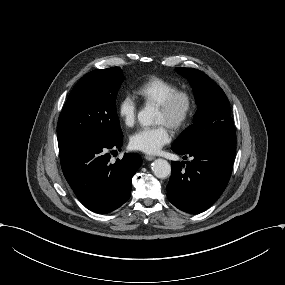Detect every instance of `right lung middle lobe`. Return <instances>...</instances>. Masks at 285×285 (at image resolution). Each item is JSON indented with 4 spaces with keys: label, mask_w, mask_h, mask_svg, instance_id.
Masks as SVG:
<instances>
[{
    "label": "right lung middle lobe",
    "mask_w": 285,
    "mask_h": 285,
    "mask_svg": "<svg viewBox=\"0 0 285 285\" xmlns=\"http://www.w3.org/2000/svg\"><path fill=\"white\" fill-rule=\"evenodd\" d=\"M123 80L120 67L97 69L84 75L71 91L59 116L58 144L122 139L116 95Z\"/></svg>",
    "instance_id": "1"
}]
</instances>
